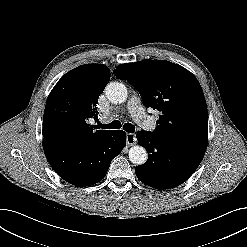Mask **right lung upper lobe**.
I'll use <instances>...</instances> for the list:
<instances>
[{
  "label": "right lung upper lobe",
  "instance_id": "right-lung-upper-lobe-1",
  "mask_svg": "<svg viewBox=\"0 0 247 247\" xmlns=\"http://www.w3.org/2000/svg\"><path fill=\"white\" fill-rule=\"evenodd\" d=\"M110 80L102 64H85L67 72L50 92L43 118L44 141L69 149L92 146L112 130H95L98 98Z\"/></svg>",
  "mask_w": 247,
  "mask_h": 247
}]
</instances>
